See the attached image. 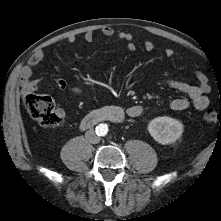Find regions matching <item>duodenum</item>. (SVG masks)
Instances as JSON below:
<instances>
[{
	"label": "duodenum",
	"instance_id": "410a0bca",
	"mask_svg": "<svg viewBox=\"0 0 221 221\" xmlns=\"http://www.w3.org/2000/svg\"><path fill=\"white\" fill-rule=\"evenodd\" d=\"M123 120L124 112L121 109L115 106H107L88 113L81 121L80 127L87 129L103 121L121 123Z\"/></svg>",
	"mask_w": 221,
	"mask_h": 221
}]
</instances>
